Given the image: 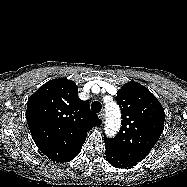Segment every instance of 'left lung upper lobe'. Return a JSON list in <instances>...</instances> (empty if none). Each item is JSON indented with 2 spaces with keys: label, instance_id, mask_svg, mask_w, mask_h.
Here are the masks:
<instances>
[{
  "label": "left lung upper lobe",
  "instance_id": "1",
  "mask_svg": "<svg viewBox=\"0 0 187 187\" xmlns=\"http://www.w3.org/2000/svg\"><path fill=\"white\" fill-rule=\"evenodd\" d=\"M122 127L114 138L104 136L105 145L125 158L138 163L159 139L165 113L158 99L141 84L131 81L117 92Z\"/></svg>",
  "mask_w": 187,
  "mask_h": 187
}]
</instances>
